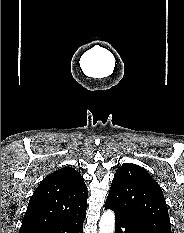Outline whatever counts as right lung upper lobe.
Here are the masks:
<instances>
[{
    "label": "right lung upper lobe",
    "mask_w": 184,
    "mask_h": 233,
    "mask_svg": "<svg viewBox=\"0 0 184 233\" xmlns=\"http://www.w3.org/2000/svg\"><path fill=\"white\" fill-rule=\"evenodd\" d=\"M87 198L81 174L72 167L58 169L45 177L34 191L20 233H31L85 216Z\"/></svg>",
    "instance_id": "obj_1"
}]
</instances>
